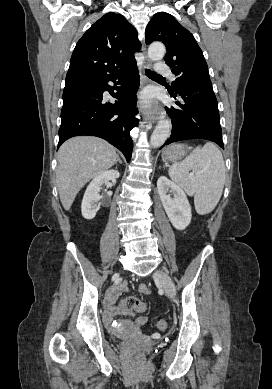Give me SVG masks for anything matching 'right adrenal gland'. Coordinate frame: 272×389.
<instances>
[{
  "label": "right adrenal gland",
  "instance_id": "right-adrenal-gland-1",
  "mask_svg": "<svg viewBox=\"0 0 272 389\" xmlns=\"http://www.w3.org/2000/svg\"><path fill=\"white\" fill-rule=\"evenodd\" d=\"M119 162L120 164L122 163L121 159L119 158V156H117V160L115 163Z\"/></svg>",
  "mask_w": 272,
  "mask_h": 389
}]
</instances>
